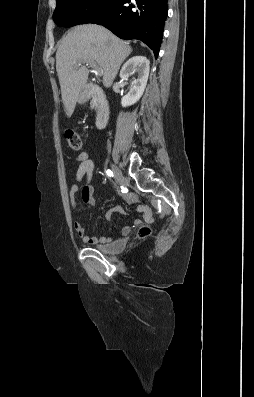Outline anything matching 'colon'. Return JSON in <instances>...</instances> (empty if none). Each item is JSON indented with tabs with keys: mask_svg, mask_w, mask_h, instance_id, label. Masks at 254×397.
Here are the masks:
<instances>
[{
	"mask_svg": "<svg viewBox=\"0 0 254 397\" xmlns=\"http://www.w3.org/2000/svg\"><path fill=\"white\" fill-rule=\"evenodd\" d=\"M66 140L70 148L74 151H79L82 148V138L81 136L72 129H66L64 131ZM150 233L149 228L143 227L140 230V236L145 237Z\"/></svg>",
	"mask_w": 254,
	"mask_h": 397,
	"instance_id": "5ec220e1",
	"label": "colon"
}]
</instances>
